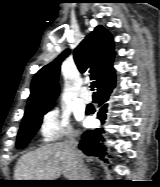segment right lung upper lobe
Masks as SVG:
<instances>
[{
    "label": "right lung upper lobe",
    "instance_id": "cb5924a9",
    "mask_svg": "<svg viewBox=\"0 0 160 187\" xmlns=\"http://www.w3.org/2000/svg\"><path fill=\"white\" fill-rule=\"evenodd\" d=\"M70 50L62 52L50 64L42 67L31 83V93L26 113L50 108L59 94L58 76L62 61ZM75 63L81 73L89 72L91 79L99 84L115 74L113 60L115 51L111 33L103 26H97L73 52Z\"/></svg>",
    "mask_w": 160,
    "mask_h": 187
}]
</instances>
